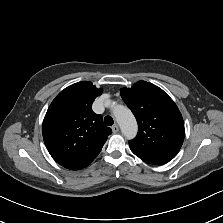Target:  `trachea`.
I'll list each match as a JSON object with an SVG mask.
<instances>
[{
  "mask_svg": "<svg viewBox=\"0 0 223 223\" xmlns=\"http://www.w3.org/2000/svg\"><path fill=\"white\" fill-rule=\"evenodd\" d=\"M104 123L107 125V126H111L113 125L114 121H113V118L111 116H106L104 118Z\"/></svg>",
  "mask_w": 223,
  "mask_h": 223,
  "instance_id": "trachea-1",
  "label": "trachea"
}]
</instances>
